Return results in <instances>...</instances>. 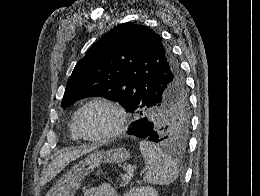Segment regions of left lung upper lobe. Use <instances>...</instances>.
Wrapping results in <instances>:
<instances>
[{
    "label": "left lung upper lobe",
    "mask_w": 260,
    "mask_h": 196,
    "mask_svg": "<svg viewBox=\"0 0 260 196\" xmlns=\"http://www.w3.org/2000/svg\"><path fill=\"white\" fill-rule=\"evenodd\" d=\"M93 96L118 101L138 120H149L158 143L186 148L190 109L184 80L170 48L154 30L123 23L90 47L68 80L61 107Z\"/></svg>",
    "instance_id": "1"
}]
</instances>
